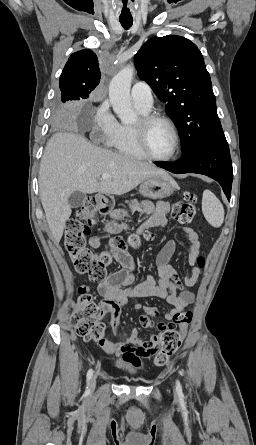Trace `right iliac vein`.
Instances as JSON below:
<instances>
[{
	"mask_svg": "<svg viewBox=\"0 0 256 445\" xmlns=\"http://www.w3.org/2000/svg\"><path fill=\"white\" fill-rule=\"evenodd\" d=\"M96 387V377L94 376L91 380L90 389L93 391Z\"/></svg>",
	"mask_w": 256,
	"mask_h": 445,
	"instance_id": "63e3f726",
	"label": "right iliac vein"
}]
</instances>
